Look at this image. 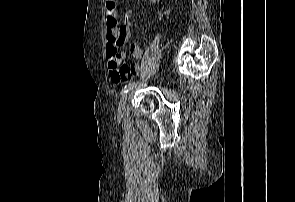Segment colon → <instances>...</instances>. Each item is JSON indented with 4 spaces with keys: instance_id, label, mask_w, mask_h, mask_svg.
<instances>
[{
    "instance_id": "obj_1",
    "label": "colon",
    "mask_w": 295,
    "mask_h": 202,
    "mask_svg": "<svg viewBox=\"0 0 295 202\" xmlns=\"http://www.w3.org/2000/svg\"><path fill=\"white\" fill-rule=\"evenodd\" d=\"M106 9L115 11L117 9L116 0H107ZM119 26V21L116 18L108 20V33L107 40L110 47H118L120 44V38L117 36L115 29ZM118 63V62H117Z\"/></svg>"
}]
</instances>
